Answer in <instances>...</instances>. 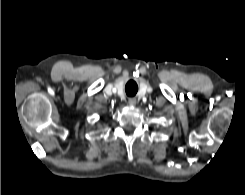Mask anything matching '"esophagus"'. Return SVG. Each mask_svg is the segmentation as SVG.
Instances as JSON below:
<instances>
[{
  "label": "esophagus",
  "instance_id": "34e87169",
  "mask_svg": "<svg viewBox=\"0 0 245 195\" xmlns=\"http://www.w3.org/2000/svg\"><path fill=\"white\" fill-rule=\"evenodd\" d=\"M128 104L130 106H135L136 105V99L135 98H129L128 99Z\"/></svg>",
  "mask_w": 245,
  "mask_h": 195
}]
</instances>
